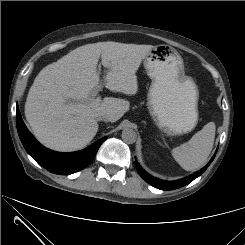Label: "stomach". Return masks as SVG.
Returning <instances> with one entry per match:
<instances>
[{
    "instance_id": "obj_1",
    "label": "stomach",
    "mask_w": 245,
    "mask_h": 245,
    "mask_svg": "<svg viewBox=\"0 0 245 245\" xmlns=\"http://www.w3.org/2000/svg\"><path fill=\"white\" fill-rule=\"evenodd\" d=\"M152 80L148 92V108L160 129L169 135L193 130L198 122V90L185 75L184 62L169 45L154 46L143 59Z\"/></svg>"
}]
</instances>
